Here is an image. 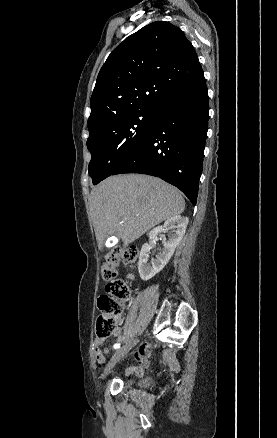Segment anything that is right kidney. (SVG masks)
Listing matches in <instances>:
<instances>
[{"mask_svg": "<svg viewBox=\"0 0 277 438\" xmlns=\"http://www.w3.org/2000/svg\"><path fill=\"white\" fill-rule=\"evenodd\" d=\"M188 222V218H184V216H173V218H168L163 226L153 228L149 234V240H152L154 244L156 240H158L157 236H159L161 232H168L169 228H173V232H171L167 242H162L164 248L160 254H158L156 258H151L150 262L149 252L152 250V246H150V244H144V246H142L138 264L141 280H144V282L151 280V278H154V276H156L158 272H161L164 266L168 264L171 256H173L175 252V248H177L186 232Z\"/></svg>", "mask_w": 277, "mask_h": 438, "instance_id": "obj_1", "label": "right kidney"}]
</instances>
